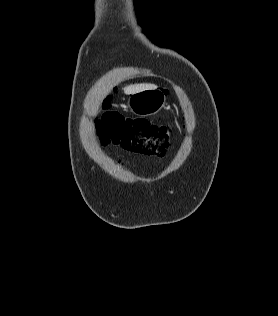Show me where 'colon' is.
<instances>
[{
    "label": "colon",
    "instance_id": "colon-1",
    "mask_svg": "<svg viewBox=\"0 0 278 316\" xmlns=\"http://www.w3.org/2000/svg\"><path fill=\"white\" fill-rule=\"evenodd\" d=\"M103 146L114 145L145 155L164 156L171 144L172 129L145 119H131L108 112L97 123Z\"/></svg>",
    "mask_w": 278,
    "mask_h": 316
}]
</instances>
